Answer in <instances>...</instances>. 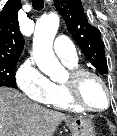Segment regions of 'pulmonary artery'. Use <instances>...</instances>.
I'll list each match as a JSON object with an SVG mask.
<instances>
[{"mask_svg": "<svg viewBox=\"0 0 117 136\" xmlns=\"http://www.w3.org/2000/svg\"><path fill=\"white\" fill-rule=\"evenodd\" d=\"M54 52L66 64L77 62V53L73 43L64 36H58L54 41Z\"/></svg>", "mask_w": 117, "mask_h": 136, "instance_id": "1", "label": "pulmonary artery"}]
</instances>
